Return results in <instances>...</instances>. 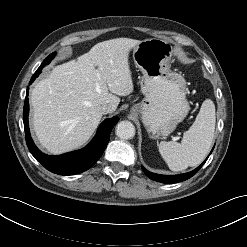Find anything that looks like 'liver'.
<instances>
[{"label": "liver", "instance_id": "6515ba94", "mask_svg": "<svg viewBox=\"0 0 247 247\" xmlns=\"http://www.w3.org/2000/svg\"><path fill=\"white\" fill-rule=\"evenodd\" d=\"M139 43L130 38L97 43L35 85L32 125L42 148L52 154L79 148L98 126L100 107L109 104L115 111L118 96L133 92L129 52Z\"/></svg>", "mask_w": 247, "mask_h": 247}]
</instances>
